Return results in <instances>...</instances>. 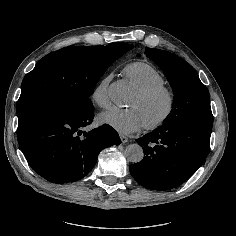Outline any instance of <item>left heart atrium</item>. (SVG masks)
Masks as SVG:
<instances>
[{"mask_svg":"<svg viewBox=\"0 0 236 236\" xmlns=\"http://www.w3.org/2000/svg\"><path fill=\"white\" fill-rule=\"evenodd\" d=\"M100 120L121 134H130L145 126L141 113L135 107H111L100 115Z\"/></svg>","mask_w":236,"mask_h":236,"instance_id":"1","label":"left heart atrium"}]
</instances>
